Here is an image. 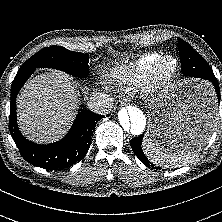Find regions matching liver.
<instances>
[{
    "instance_id": "6515ba94",
    "label": "liver",
    "mask_w": 222,
    "mask_h": 222,
    "mask_svg": "<svg viewBox=\"0 0 222 222\" xmlns=\"http://www.w3.org/2000/svg\"><path fill=\"white\" fill-rule=\"evenodd\" d=\"M125 69L112 72L123 78ZM78 104L76 89L67 74L53 70L26 83L17 97L18 125L28 139L37 143L60 139L71 126Z\"/></svg>"
}]
</instances>
